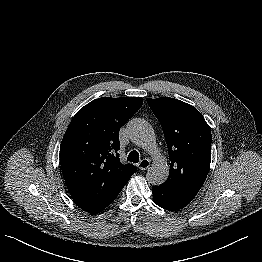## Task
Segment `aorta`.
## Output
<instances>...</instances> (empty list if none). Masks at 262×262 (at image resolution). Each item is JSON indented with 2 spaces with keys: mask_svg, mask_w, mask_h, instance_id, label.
<instances>
[{
  "mask_svg": "<svg viewBox=\"0 0 262 262\" xmlns=\"http://www.w3.org/2000/svg\"><path fill=\"white\" fill-rule=\"evenodd\" d=\"M128 134L132 142L153 156V164L148 169L146 179L152 185L163 184L169 175V166L157 148L153 128L142 119H133L128 125Z\"/></svg>",
  "mask_w": 262,
  "mask_h": 262,
  "instance_id": "1",
  "label": "aorta"
}]
</instances>
